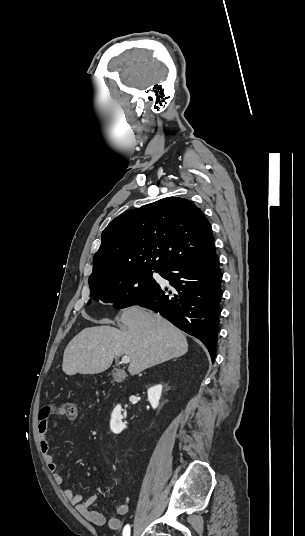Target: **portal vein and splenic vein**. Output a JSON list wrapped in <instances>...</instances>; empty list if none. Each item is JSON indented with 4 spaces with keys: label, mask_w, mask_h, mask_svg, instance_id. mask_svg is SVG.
I'll return each mask as SVG.
<instances>
[{
    "label": "portal vein and splenic vein",
    "mask_w": 305,
    "mask_h": 536,
    "mask_svg": "<svg viewBox=\"0 0 305 536\" xmlns=\"http://www.w3.org/2000/svg\"><path fill=\"white\" fill-rule=\"evenodd\" d=\"M129 362H130L129 356H123L121 360V364H129Z\"/></svg>",
    "instance_id": "18ae733b"
}]
</instances>
